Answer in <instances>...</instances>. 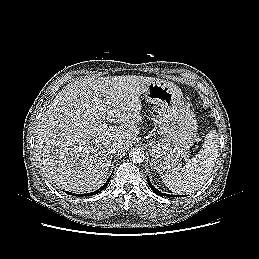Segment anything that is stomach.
<instances>
[{"label": "stomach", "instance_id": "stomach-1", "mask_svg": "<svg viewBox=\"0 0 259 259\" xmlns=\"http://www.w3.org/2000/svg\"><path fill=\"white\" fill-rule=\"evenodd\" d=\"M143 97L156 106L160 138L151 141L152 168L170 171L181 164L197 136V121L184 102L181 89L172 82L154 80L143 90Z\"/></svg>", "mask_w": 259, "mask_h": 259}]
</instances>
